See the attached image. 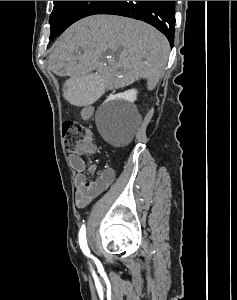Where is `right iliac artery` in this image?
<instances>
[{"mask_svg": "<svg viewBox=\"0 0 237 300\" xmlns=\"http://www.w3.org/2000/svg\"><path fill=\"white\" fill-rule=\"evenodd\" d=\"M79 244H80V248L82 249L83 253L89 257H92V255H90V250L87 245L85 225H82L80 232H79Z\"/></svg>", "mask_w": 237, "mask_h": 300, "instance_id": "82829eb1", "label": "right iliac artery"}]
</instances>
